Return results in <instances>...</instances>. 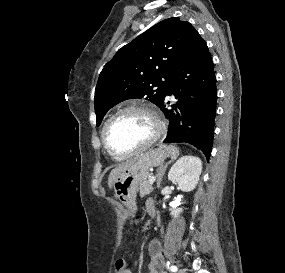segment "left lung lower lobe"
Masks as SVG:
<instances>
[{
	"mask_svg": "<svg viewBox=\"0 0 285 273\" xmlns=\"http://www.w3.org/2000/svg\"><path fill=\"white\" fill-rule=\"evenodd\" d=\"M171 94L176 101L170 109L166 96ZM166 96L159 106L169 120L164 142L193 144L209 161L217 101L216 78L208 47L196 30L175 69Z\"/></svg>",
	"mask_w": 285,
	"mask_h": 273,
	"instance_id": "obj_1",
	"label": "left lung lower lobe"
}]
</instances>
